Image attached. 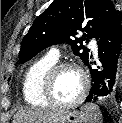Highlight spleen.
<instances>
[{
	"label": "spleen",
	"mask_w": 122,
	"mask_h": 123,
	"mask_svg": "<svg viewBox=\"0 0 122 123\" xmlns=\"http://www.w3.org/2000/svg\"><path fill=\"white\" fill-rule=\"evenodd\" d=\"M81 110L86 114L90 123H102V115L96 104H86Z\"/></svg>",
	"instance_id": "1"
}]
</instances>
